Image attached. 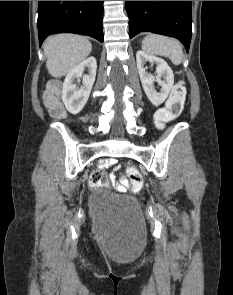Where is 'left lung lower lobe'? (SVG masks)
Masks as SVG:
<instances>
[{"mask_svg":"<svg viewBox=\"0 0 233 295\" xmlns=\"http://www.w3.org/2000/svg\"><path fill=\"white\" fill-rule=\"evenodd\" d=\"M129 36L153 32L175 37L187 52L191 41V1H126Z\"/></svg>","mask_w":233,"mask_h":295,"instance_id":"left-lung-lower-lobe-1","label":"left lung lower lobe"}]
</instances>
